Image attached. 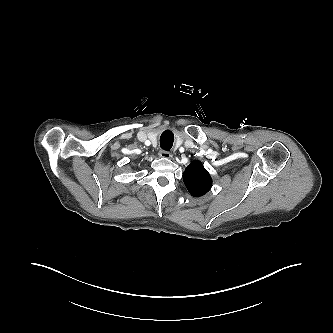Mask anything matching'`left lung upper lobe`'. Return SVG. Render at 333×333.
Returning a JSON list of instances; mask_svg holds the SVG:
<instances>
[{"mask_svg":"<svg viewBox=\"0 0 333 333\" xmlns=\"http://www.w3.org/2000/svg\"><path fill=\"white\" fill-rule=\"evenodd\" d=\"M183 181L188 192L195 197L203 196L212 186L210 174L204 168L203 164L197 160L190 163L185 169Z\"/></svg>","mask_w":333,"mask_h":333,"instance_id":"left-lung-upper-lobe-1","label":"left lung upper lobe"}]
</instances>
